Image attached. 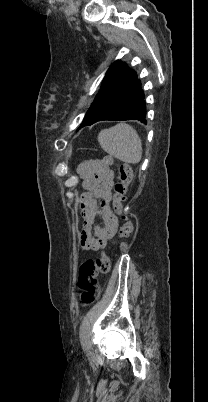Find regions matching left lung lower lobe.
<instances>
[{
    "label": "left lung lower lobe",
    "mask_w": 208,
    "mask_h": 402,
    "mask_svg": "<svg viewBox=\"0 0 208 402\" xmlns=\"http://www.w3.org/2000/svg\"><path fill=\"white\" fill-rule=\"evenodd\" d=\"M104 120H138L141 123H147L144 95L138 79L126 94L96 122Z\"/></svg>",
    "instance_id": "0a47b994"
}]
</instances>
